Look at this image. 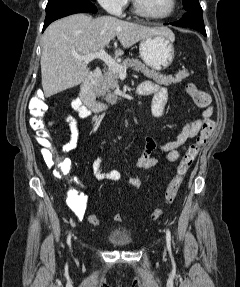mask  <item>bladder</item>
Here are the masks:
<instances>
[{
	"mask_svg": "<svg viewBox=\"0 0 240 287\" xmlns=\"http://www.w3.org/2000/svg\"><path fill=\"white\" fill-rule=\"evenodd\" d=\"M108 241L114 246L125 247L132 244L130 233L124 228L113 229L107 236Z\"/></svg>",
	"mask_w": 240,
	"mask_h": 287,
	"instance_id": "bladder-1",
	"label": "bladder"
}]
</instances>
